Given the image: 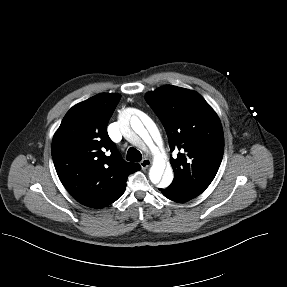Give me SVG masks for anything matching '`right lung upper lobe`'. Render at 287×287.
Returning a JSON list of instances; mask_svg holds the SVG:
<instances>
[{"instance_id": "1", "label": "right lung upper lobe", "mask_w": 287, "mask_h": 287, "mask_svg": "<svg viewBox=\"0 0 287 287\" xmlns=\"http://www.w3.org/2000/svg\"><path fill=\"white\" fill-rule=\"evenodd\" d=\"M121 96L100 93L73 106L52 141L58 177L80 203L103 208L125 191L127 177L141 166L122 159L107 133Z\"/></svg>"}]
</instances>
